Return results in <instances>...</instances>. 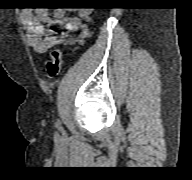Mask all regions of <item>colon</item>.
<instances>
[{"label": "colon", "mask_w": 192, "mask_h": 180, "mask_svg": "<svg viewBox=\"0 0 192 180\" xmlns=\"http://www.w3.org/2000/svg\"><path fill=\"white\" fill-rule=\"evenodd\" d=\"M63 65H64L63 53L60 49L56 48L51 52L50 58L47 61L46 64L47 74L50 77L58 76L63 69Z\"/></svg>", "instance_id": "obj_1"}]
</instances>
